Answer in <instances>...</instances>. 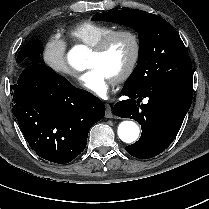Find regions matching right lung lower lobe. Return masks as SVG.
I'll use <instances>...</instances> for the list:
<instances>
[{
  "label": "right lung lower lobe",
  "instance_id": "98d812e1",
  "mask_svg": "<svg viewBox=\"0 0 209 209\" xmlns=\"http://www.w3.org/2000/svg\"><path fill=\"white\" fill-rule=\"evenodd\" d=\"M11 95L13 115L30 147L58 164L85 149L90 128L105 115L99 98L39 63L24 69Z\"/></svg>",
  "mask_w": 209,
  "mask_h": 209
}]
</instances>
